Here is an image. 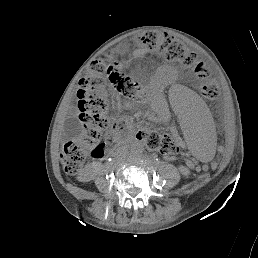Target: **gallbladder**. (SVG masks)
<instances>
[{
  "mask_svg": "<svg viewBox=\"0 0 258 258\" xmlns=\"http://www.w3.org/2000/svg\"><path fill=\"white\" fill-rule=\"evenodd\" d=\"M64 131L68 138L74 139L83 135L84 129L77 118H69L64 123Z\"/></svg>",
  "mask_w": 258,
  "mask_h": 258,
  "instance_id": "bac80fb5",
  "label": "gallbladder"
}]
</instances>
